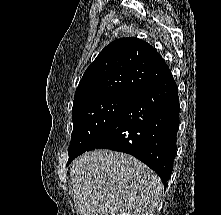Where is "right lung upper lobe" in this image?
Returning <instances> with one entry per match:
<instances>
[{
    "instance_id": "cb5924a9",
    "label": "right lung upper lobe",
    "mask_w": 221,
    "mask_h": 215,
    "mask_svg": "<svg viewBox=\"0 0 221 215\" xmlns=\"http://www.w3.org/2000/svg\"><path fill=\"white\" fill-rule=\"evenodd\" d=\"M170 73L160 54L138 38L107 45L85 71L73 105L111 95L133 97Z\"/></svg>"
}]
</instances>
